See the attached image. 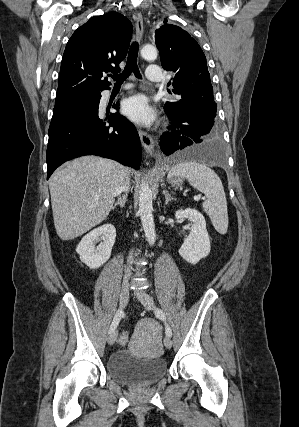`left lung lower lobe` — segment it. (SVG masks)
I'll use <instances>...</instances> for the list:
<instances>
[{"label": "left lung lower lobe", "mask_w": 299, "mask_h": 427, "mask_svg": "<svg viewBox=\"0 0 299 427\" xmlns=\"http://www.w3.org/2000/svg\"><path fill=\"white\" fill-rule=\"evenodd\" d=\"M166 111L171 133L162 135L160 147L165 155L222 164L225 157L221 133L211 108L202 103H179Z\"/></svg>", "instance_id": "left-lung-lower-lobe-1"}]
</instances>
